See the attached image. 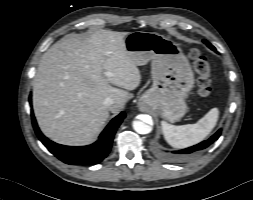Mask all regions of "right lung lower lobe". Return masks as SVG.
Segmentation results:
<instances>
[{
    "mask_svg": "<svg viewBox=\"0 0 253 200\" xmlns=\"http://www.w3.org/2000/svg\"><path fill=\"white\" fill-rule=\"evenodd\" d=\"M29 100L31 102V97ZM125 116V113L121 112L107 125L99 136L98 141L92 145L81 147L64 146L47 139L39 130L33 113L32 123L38 138L58 159L71 165H91L101 162L108 155L114 134Z\"/></svg>",
    "mask_w": 253,
    "mask_h": 200,
    "instance_id": "98d812e1",
    "label": "right lung lower lobe"
}]
</instances>
